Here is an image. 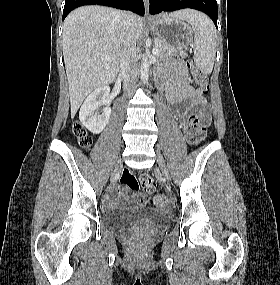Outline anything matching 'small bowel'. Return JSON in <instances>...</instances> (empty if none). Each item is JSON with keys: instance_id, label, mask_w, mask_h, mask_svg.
Returning <instances> with one entry per match:
<instances>
[{"instance_id": "1", "label": "small bowel", "mask_w": 280, "mask_h": 285, "mask_svg": "<svg viewBox=\"0 0 280 285\" xmlns=\"http://www.w3.org/2000/svg\"><path fill=\"white\" fill-rule=\"evenodd\" d=\"M162 83L166 90V95L169 102L177 105L175 115L181 119L194 107L199 106V114L201 119L209 122L210 107L207 100L190 84L187 74L183 69H177L171 74H166L162 77ZM118 188H112L110 195L106 200L108 205L113 203L111 194L117 191ZM121 200L127 205L146 204L147 195L129 194L127 187H124L121 194Z\"/></svg>"}]
</instances>
